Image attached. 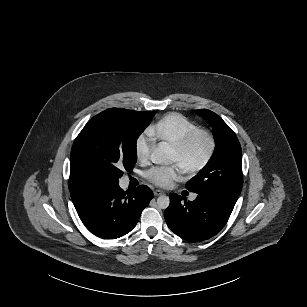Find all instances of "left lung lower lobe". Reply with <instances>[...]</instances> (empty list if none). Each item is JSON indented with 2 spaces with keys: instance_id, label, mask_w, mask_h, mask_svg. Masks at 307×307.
Here are the masks:
<instances>
[{
  "instance_id": "obj_1",
  "label": "left lung lower lobe",
  "mask_w": 307,
  "mask_h": 307,
  "mask_svg": "<svg viewBox=\"0 0 307 307\" xmlns=\"http://www.w3.org/2000/svg\"><path fill=\"white\" fill-rule=\"evenodd\" d=\"M170 205L164 216L168 227L181 238L199 242L216 235L228 221L235 203L198 194L186 201L176 193L169 195Z\"/></svg>"
}]
</instances>
